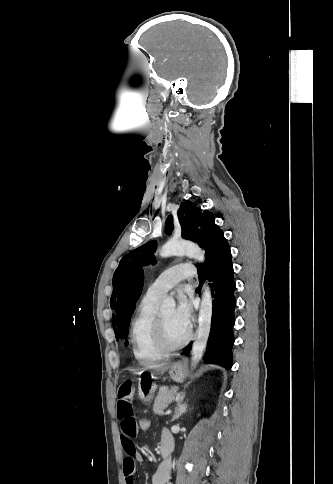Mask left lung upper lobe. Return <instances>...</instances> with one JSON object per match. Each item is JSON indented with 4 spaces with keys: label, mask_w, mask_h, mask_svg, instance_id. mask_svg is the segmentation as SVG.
<instances>
[{
    "label": "left lung upper lobe",
    "mask_w": 333,
    "mask_h": 484,
    "mask_svg": "<svg viewBox=\"0 0 333 484\" xmlns=\"http://www.w3.org/2000/svg\"><path fill=\"white\" fill-rule=\"evenodd\" d=\"M177 215L182 228V237L191 240L202 247L205 240L207 225L212 220H215L213 213L208 210H201L191 201H186L180 205ZM166 223L167 227L165 232L166 234H171L173 229V217L169 216ZM155 249L156 242L150 241L131 251L121 259L119 266L113 275V293L110 302L111 308L114 307L118 291L129 270L138 264L146 265L153 262ZM113 327L116 338L118 339L114 324V316Z\"/></svg>",
    "instance_id": "obj_1"
}]
</instances>
